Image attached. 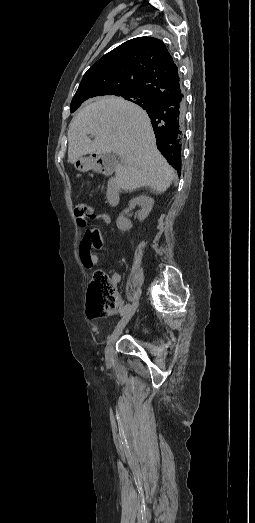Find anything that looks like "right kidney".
Returning <instances> with one entry per match:
<instances>
[{
    "label": "right kidney",
    "mask_w": 255,
    "mask_h": 523,
    "mask_svg": "<svg viewBox=\"0 0 255 523\" xmlns=\"http://www.w3.org/2000/svg\"><path fill=\"white\" fill-rule=\"evenodd\" d=\"M153 204V198H149V196H146V194H142V196H137V198H133V200H130L129 208L141 206L142 210H139L138 212V220H145V218L149 216L153 208ZM116 224L117 228H119V230H122V232H126V230H130V228H132L130 220H127L124 214H120L119 218H117Z\"/></svg>",
    "instance_id": "obj_1"
}]
</instances>
